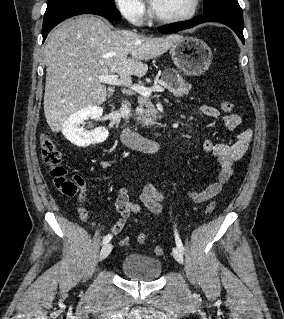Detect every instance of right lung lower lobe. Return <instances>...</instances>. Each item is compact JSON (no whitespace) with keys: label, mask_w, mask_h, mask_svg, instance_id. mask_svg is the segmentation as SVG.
Wrapping results in <instances>:
<instances>
[{"label":"right lung lower lobe","mask_w":284,"mask_h":319,"mask_svg":"<svg viewBox=\"0 0 284 319\" xmlns=\"http://www.w3.org/2000/svg\"><path fill=\"white\" fill-rule=\"evenodd\" d=\"M80 14H95V15L104 16L111 20H117L121 17L119 11H117L115 7L72 8V9L64 10L43 20V26H42L43 42L46 39L48 33L57 24H59L60 22H62L63 20L67 18L80 15Z\"/></svg>","instance_id":"right-lung-lower-lobe-1"}]
</instances>
